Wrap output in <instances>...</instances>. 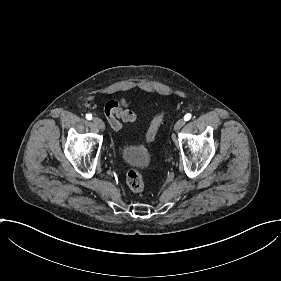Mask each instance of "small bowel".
<instances>
[{
  "label": "small bowel",
  "instance_id": "obj_1",
  "mask_svg": "<svg viewBox=\"0 0 281 281\" xmlns=\"http://www.w3.org/2000/svg\"><path fill=\"white\" fill-rule=\"evenodd\" d=\"M127 106L125 100H113L108 102L105 111L106 119L112 128L121 130L123 128V122H136V114Z\"/></svg>",
  "mask_w": 281,
  "mask_h": 281
}]
</instances>
